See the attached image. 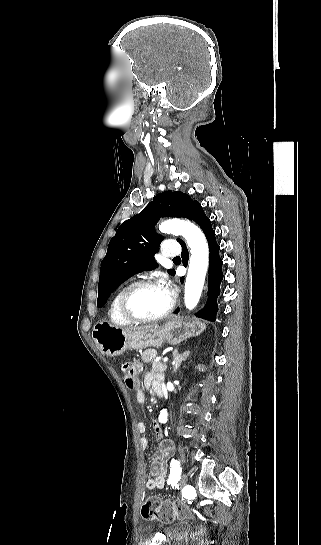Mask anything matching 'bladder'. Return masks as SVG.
<instances>
[{"label":"bladder","mask_w":321,"mask_h":545,"mask_svg":"<svg viewBox=\"0 0 321 545\" xmlns=\"http://www.w3.org/2000/svg\"><path fill=\"white\" fill-rule=\"evenodd\" d=\"M162 529L168 539L178 541L187 535L189 525L186 522H172L164 525Z\"/></svg>","instance_id":"31cf9c89"}]
</instances>
